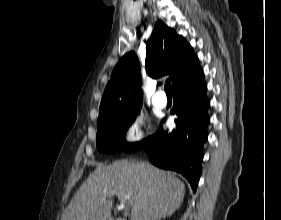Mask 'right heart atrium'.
<instances>
[{
	"instance_id": "obj_1",
	"label": "right heart atrium",
	"mask_w": 281,
	"mask_h": 220,
	"mask_svg": "<svg viewBox=\"0 0 281 220\" xmlns=\"http://www.w3.org/2000/svg\"><path fill=\"white\" fill-rule=\"evenodd\" d=\"M151 136L149 121L144 113L133 115L125 126L124 140L129 144H138Z\"/></svg>"
}]
</instances>
